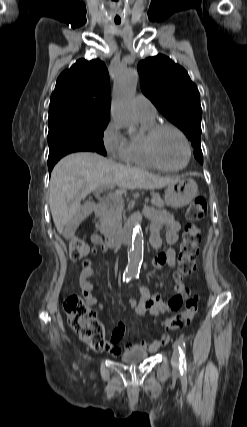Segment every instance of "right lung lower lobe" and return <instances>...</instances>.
Masks as SVG:
<instances>
[{
	"label": "right lung lower lobe",
	"instance_id": "obj_1",
	"mask_svg": "<svg viewBox=\"0 0 247 427\" xmlns=\"http://www.w3.org/2000/svg\"><path fill=\"white\" fill-rule=\"evenodd\" d=\"M78 151H93V150H91L86 146L76 144V143H60V144H55L49 147V157H48L49 173L51 174V171L54 165L58 162L60 158H62L63 156L69 153L78 152Z\"/></svg>",
	"mask_w": 247,
	"mask_h": 427
}]
</instances>
